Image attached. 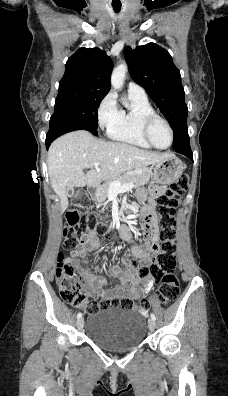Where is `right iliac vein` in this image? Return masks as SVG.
Returning <instances> with one entry per match:
<instances>
[{
	"mask_svg": "<svg viewBox=\"0 0 228 396\" xmlns=\"http://www.w3.org/2000/svg\"><path fill=\"white\" fill-rule=\"evenodd\" d=\"M83 326H84V319H83V318L78 319V321H77V328H78L79 330H81V329L83 328Z\"/></svg>",
	"mask_w": 228,
	"mask_h": 396,
	"instance_id": "right-iliac-vein-1",
	"label": "right iliac vein"
}]
</instances>
